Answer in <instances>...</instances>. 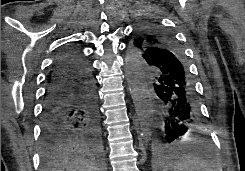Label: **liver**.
I'll return each instance as SVG.
<instances>
[{
	"label": "liver",
	"mask_w": 245,
	"mask_h": 171,
	"mask_svg": "<svg viewBox=\"0 0 245 171\" xmlns=\"http://www.w3.org/2000/svg\"><path fill=\"white\" fill-rule=\"evenodd\" d=\"M47 171H101V169L92 162L76 157L55 163Z\"/></svg>",
	"instance_id": "6515ba94"
}]
</instances>
